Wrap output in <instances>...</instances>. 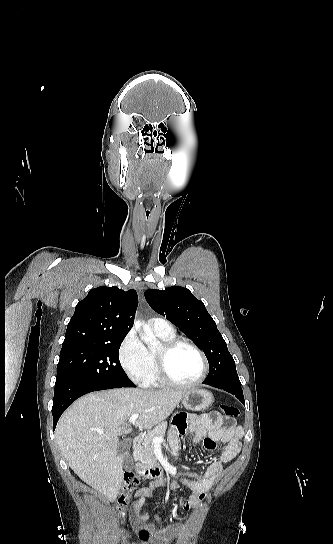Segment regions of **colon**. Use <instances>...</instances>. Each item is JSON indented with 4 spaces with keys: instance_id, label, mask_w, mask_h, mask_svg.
Here are the masks:
<instances>
[{
    "instance_id": "colon-1",
    "label": "colon",
    "mask_w": 333,
    "mask_h": 544,
    "mask_svg": "<svg viewBox=\"0 0 333 544\" xmlns=\"http://www.w3.org/2000/svg\"><path fill=\"white\" fill-rule=\"evenodd\" d=\"M221 411L227 418L233 419L239 415V409L234 405H222ZM140 481L131 474H125L121 491L117 497L115 509L120 519H124L126 510L130 505L134 490L139 486Z\"/></svg>"
}]
</instances>
